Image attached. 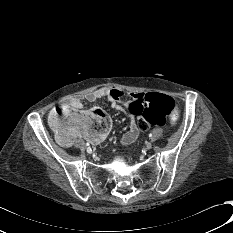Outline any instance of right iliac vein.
<instances>
[{
	"instance_id": "obj_1",
	"label": "right iliac vein",
	"mask_w": 233,
	"mask_h": 233,
	"mask_svg": "<svg viewBox=\"0 0 233 233\" xmlns=\"http://www.w3.org/2000/svg\"><path fill=\"white\" fill-rule=\"evenodd\" d=\"M87 152H88V153H92V151H91L90 149H88V148H87Z\"/></svg>"
}]
</instances>
